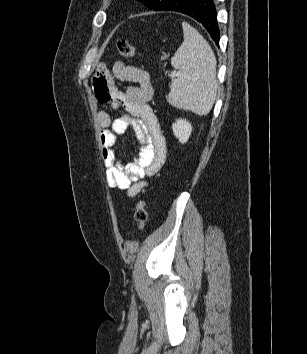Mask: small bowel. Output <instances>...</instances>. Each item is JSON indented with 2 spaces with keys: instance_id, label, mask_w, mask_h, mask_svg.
Returning <instances> with one entry per match:
<instances>
[{
  "instance_id": "obj_1",
  "label": "small bowel",
  "mask_w": 307,
  "mask_h": 354,
  "mask_svg": "<svg viewBox=\"0 0 307 354\" xmlns=\"http://www.w3.org/2000/svg\"><path fill=\"white\" fill-rule=\"evenodd\" d=\"M113 76L119 81L137 85L119 89L104 66L99 67L94 77L97 101L110 102L111 110H124L120 117L114 119L108 110L97 113L105 177L108 186L126 190L129 197H134L146 186L144 178L155 175L164 165L167 145L149 105L153 96L149 74L143 69L117 62L113 66ZM128 130L134 132L138 155L124 166L116 157L115 144L117 136Z\"/></svg>"
}]
</instances>
